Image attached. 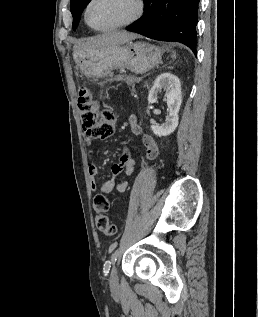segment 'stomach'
<instances>
[{
    "mask_svg": "<svg viewBox=\"0 0 258 317\" xmlns=\"http://www.w3.org/2000/svg\"><path fill=\"white\" fill-rule=\"evenodd\" d=\"M164 50L148 42L110 44L92 50H73V58L85 76H107L114 68H129L143 74L162 62Z\"/></svg>",
    "mask_w": 258,
    "mask_h": 317,
    "instance_id": "0dacf381",
    "label": "stomach"
}]
</instances>
